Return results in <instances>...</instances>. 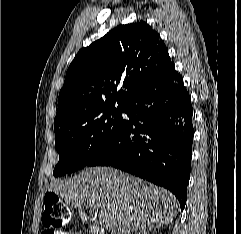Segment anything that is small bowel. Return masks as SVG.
<instances>
[{"label": "small bowel", "instance_id": "c3829d8e", "mask_svg": "<svg viewBox=\"0 0 241 234\" xmlns=\"http://www.w3.org/2000/svg\"><path fill=\"white\" fill-rule=\"evenodd\" d=\"M42 234H69L68 232L65 231H60V230H48L45 229Z\"/></svg>", "mask_w": 241, "mask_h": 234}]
</instances>
